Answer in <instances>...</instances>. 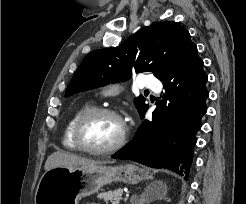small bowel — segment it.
Returning a JSON list of instances; mask_svg holds the SVG:
<instances>
[{"label": "small bowel", "mask_w": 246, "mask_h": 204, "mask_svg": "<svg viewBox=\"0 0 246 204\" xmlns=\"http://www.w3.org/2000/svg\"><path fill=\"white\" fill-rule=\"evenodd\" d=\"M88 204H99V203H88Z\"/></svg>", "instance_id": "small-bowel-1"}]
</instances>
